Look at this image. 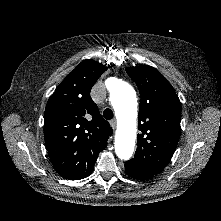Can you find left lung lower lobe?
Here are the masks:
<instances>
[{
    "label": "left lung lower lobe",
    "mask_w": 221,
    "mask_h": 221,
    "mask_svg": "<svg viewBox=\"0 0 221 221\" xmlns=\"http://www.w3.org/2000/svg\"><path fill=\"white\" fill-rule=\"evenodd\" d=\"M130 177H132V178H134V179H138V180H148V179H150V178H152V177H150V178H148V177H138V176H136V175H133V174H130V173H128V172H126Z\"/></svg>",
    "instance_id": "left-lung-lower-lobe-1"
}]
</instances>
